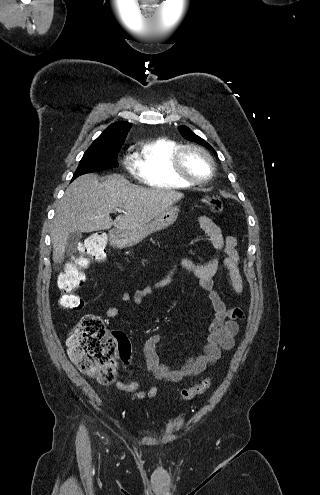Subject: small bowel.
<instances>
[{
    "mask_svg": "<svg viewBox=\"0 0 320 495\" xmlns=\"http://www.w3.org/2000/svg\"><path fill=\"white\" fill-rule=\"evenodd\" d=\"M199 226L207 233L214 248V255L205 263L185 258L179 268L190 273L197 279L201 288L209 296L212 305V318L206 335V341L202 353L189 359L181 368L173 369L160 362L157 346L163 339L162 333L152 335L143 346V356L145 359L146 372H150L158 380L167 382H179L202 373L210 364L216 363L223 350H230L234 346V338L239 332V322L244 318L243 312L239 308H228L220 298L214 286V276L222 265L229 272L230 281L234 291L241 295L244 285L239 270V249L238 241L234 236L225 235L222 229L209 217L200 216L197 219ZM173 272L162 282L150 284L135 292H124L121 300L134 305L143 304L144 300L153 295L157 290L167 285L171 280ZM119 310L116 307H109L106 315L109 318H116ZM139 382L125 383L117 381L116 387L119 390L133 392L139 389ZM157 393V387L151 386L147 391L148 397H153Z\"/></svg>",
    "mask_w": 320,
    "mask_h": 495,
    "instance_id": "1",
    "label": "small bowel"
}]
</instances>
